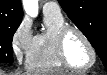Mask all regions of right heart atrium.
<instances>
[{
	"mask_svg": "<svg viewBox=\"0 0 107 75\" xmlns=\"http://www.w3.org/2000/svg\"><path fill=\"white\" fill-rule=\"evenodd\" d=\"M33 39L31 24L27 19H23L11 37V49L18 63L27 60Z\"/></svg>",
	"mask_w": 107,
	"mask_h": 75,
	"instance_id": "obj_1",
	"label": "right heart atrium"
}]
</instances>
